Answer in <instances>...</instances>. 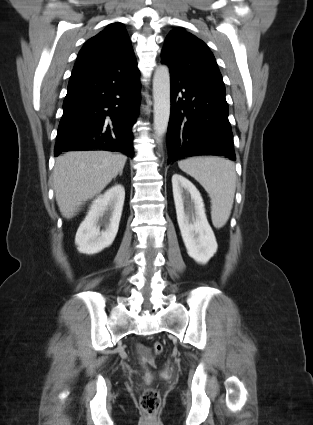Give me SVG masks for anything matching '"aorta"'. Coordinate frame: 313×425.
Returning <instances> with one entry per match:
<instances>
[{
    "instance_id": "762f6f07",
    "label": "aorta",
    "mask_w": 313,
    "mask_h": 425,
    "mask_svg": "<svg viewBox=\"0 0 313 425\" xmlns=\"http://www.w3.org/2000/svg\"><path fill=\"white\" fill-rule=\"evenodd\" d=\"M154 131L158 139L165 134L170 117V73L166 65L156 68L153 76Z\"/></svg>"
}]
</instances>
